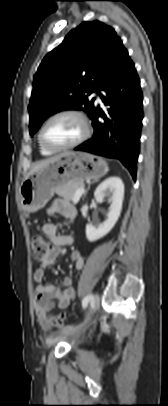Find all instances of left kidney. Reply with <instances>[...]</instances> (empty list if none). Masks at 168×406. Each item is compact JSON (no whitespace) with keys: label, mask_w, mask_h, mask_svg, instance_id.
<instances>
[{"label":"left kidney","mask_w":168,"mask_h":406,"mask_svg":"<svg viewBox=\"0 0 168 406\" xmlns=\"http://www.w3.org/2000/svg\"><path fill=\"white\" fill-rule=\"evenodd\" d=\"M94 197L99 203H102L104 198L107 197L110 202V208L104 222L97 225H86V238L90 242L96 241L108 234L120 216L124 198V184L121 178L112 176L104 180L96 188Z\"/></svg>","instance_id":"1"}]
</instances>
